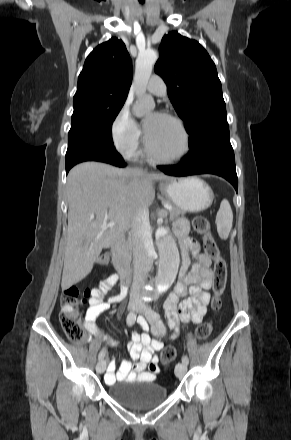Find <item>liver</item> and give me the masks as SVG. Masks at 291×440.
Masks as SVG:
<instances>
[{
  "instance_id": "liver-1",
  "label": "liver",
  "mask_w": 291,
  "mask_h": 440,
  "mask_svg": "<svg viewBox=\"0 0 291 440\" xmlns=\"http://www.w3.org/2000/svg\"><path fill=\"white\" fill-rule=\"evenodd\" d=\"M171 178L99 162L73 167L67 177L68 230L62 289L84 279L102 252L123 238L138 211L153 203V181ZM112 228L102 229L105 222Z\"/></svg>"
}]
</instances>
